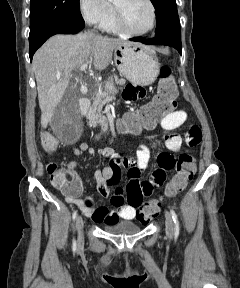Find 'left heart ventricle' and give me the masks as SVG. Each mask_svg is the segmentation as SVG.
<instances>
[{"label":"left heart ventricle","mask_w":240,"mask_h":288,"mask_svg":"<svg viewBox=\"0 0 240 288\" xmlns=\"http://www.w3.org/2000/svg\"><path fill=\"white\" fill-rule=\"evenodd\" d=\"M125 16L130 29L142 32L152 24V11L146 0H114Z\"/></svg>","instance_id":"1"}]
</instances>
